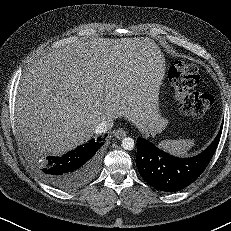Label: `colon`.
<instances>
[{"mask_svg":"<svg viewBox=\"0 0 231 231\" xmlns=\"http://www.w3.org/2000/svg\"><path fill=\"white\" fill-rule=\"evenodd\" d=\"M169 79L175 89L179 108L184 114L200 116L212 107V95L193 90L199 79L198 68L194 63L176 62L170 68Z\"/></svg>","mask_w":231,"mask_h":231,"instance_id":"5ec220e1","label":"colon"}]
</instances>
